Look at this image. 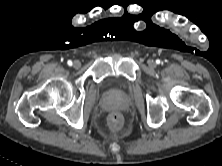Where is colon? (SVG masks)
Returning <instances> with one entry per match:
<instances>
[{"label":"colon","mask_w":222,"mask_h":166,"mask_svg":"<svg viewBox=\"0 0 222 166\" xmlns=\"http://www.w3.org/2000/svg\"><path fill=\"white\" fill-rule=\"evenodd\" d=\"M108 123L112 129H119L122 126L123 120L118 113H113L109 116Z\"/></svg>","instance_id":"obj_1"}]
</instances>
